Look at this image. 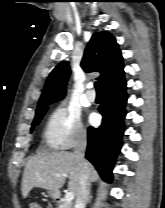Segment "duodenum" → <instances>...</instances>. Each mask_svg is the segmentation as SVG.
I'll return each instance as SVG.
<instances>
[{
	"mask_svg": "<svg viewBox=\"0 0 165 208\" xmlns=\"http://www.w3.org/2000/svg\"><path fill=\"white\" fill-rule=\"evenodd\" d=\"M55 198L60 199V195L58 193H55Z\"/></svg>",
	"mask_w": 165,
	"mask_h": 208,
	"instance_id": "1",
	"label": "duodenum"
}]
</instances>
